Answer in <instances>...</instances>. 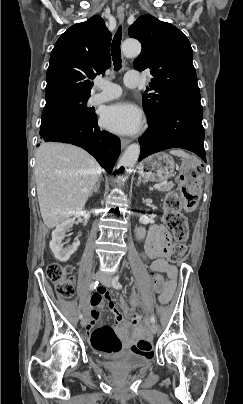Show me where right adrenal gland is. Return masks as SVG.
Listing matches in <instances>:
<instances>
[{
    "label": "right adrenal gland",
    "instance_id": "2a0ac1e0",
    "mask_svg": "<svg viewBox=\"0 0 243 404\" xmlns=\"http://www.w3.org/2000/svg\"><path fill=\"white\" fill-rule=\"evenodd\" d=\"M101 180H102V176H100V178H99L97 184H95L93 190H91V192H90V194H89V198H91V196H92V194H94V192H95V194H97V192H99Z\"/></svg>",
    "mask_w": 243,
    "mask_h": 404
}]
</instances>
